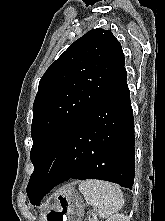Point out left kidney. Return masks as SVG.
<instances>
[{"instance_id":"5707ae66","label":"left kidney","mask_w":165,"mask_h":221,"mask_svg":"<svg viewBox=\"0 0 165 221\" xmlns=\"http://www.w3.org/2000/svg\"><path fill=\"white\" fill-rule=\"evenodd\" d=\"M106 221H130L128 216L124 214H115Z\"/></svg>"}]
</instances>
